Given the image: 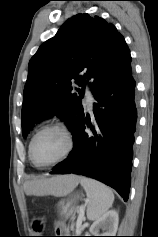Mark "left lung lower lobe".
Returning a JSON list of instances; mask_svg holds the SVG:
<instances>
[{
  "mask_svg": "<svg viewBox=\"0 0 158 237\" xmlns=\"http://www.w3.org/2000/svg\"><path fill=\"white\" fill-rule=\"evenodd\" d=\"M94 120L81 119L74 132V148L51 174H79L114 188L127 201L137 121L135 80L130 63L95 93ZM85 125L91 133L85 132Z\"/></svg>",
  "mask_w": 158,
  "mask_h": 237,
  "instance_id": "left-lung-lower-lobe-1",
  "label": "left lung lower lobe"
}]
</instances>
